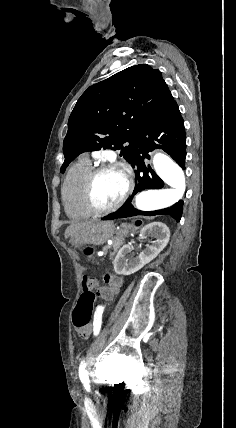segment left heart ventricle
<instances>
[{"label":"left heart ventricle","instance_id":"b2bd125f","mask_svg":"<svg viewBox=\"0 0 236 428\" xmlns=\"http://www.w3.org/2000/svg\"><path fill=\"white\" fill-rule=\"evenodd\" d=\"M127 189V177L120 169L102 173L93 187L94 198L98 204L108 206L118 202Z\"/></svg>","mask_w":236,"mask_h":428}]
</instances>
